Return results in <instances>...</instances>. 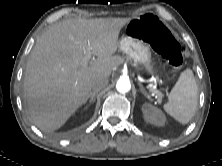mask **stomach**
Instances as JSON below:
<instances>
[{
	"label": "stomach",
	"mask_w": 222,
	"mask_h": 166,
	"mask_svg": "<svg viewBox=\"0 0 222 166\" xmlns=\"http://www.w3.org/2000/svg\"><path fill=\"white\" fill-rule=\"evenodd\" d=\"M119 48L137 65H142L149 74L154 73L151 49L143 40L126 35L119 41Z\"/></svg>",
	"instance_id": "1"
}]
</instances>
